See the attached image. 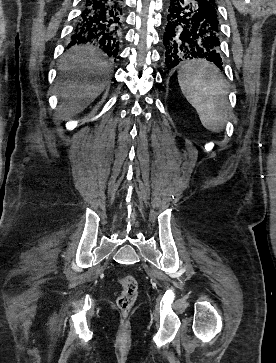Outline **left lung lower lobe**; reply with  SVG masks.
<instances>
[{
    "label": "left lung lower lobe",
    "mask_w": 276,
    "mask_h": 363,
    "mask_svg": "<svg viewBox=\"0 0 276 363\" xmlns=\"http://www.w3.org/2000/svg\"><path fill=\"white\" fill-rule=\"evenodd\" d=\"M164 33L167 73L189 60L203 58L222 70L217 9L206 0H170Z\"/></svg>",
    "instance_id": "obj_1"
}]
</instances>
